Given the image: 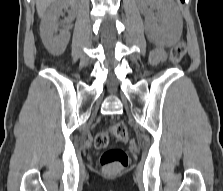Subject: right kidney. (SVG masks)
I'll return each instance as SVG.
<instances>
[{
  "label": "right kidney",
  "mask_w": 223,
  "mask_h": 191,
  "mask_svg": "<svg viewBox=\"0 0 223 191\" xmlns=\"http://www.w3.org/2000/svg\"><path fill=\"white\" fill-rule=\"evenodd\" d=\"M76 0H56L54 1L47 13L45 14L41 26L40 34L42 42L49 52L55 55L63 53L70 39L68 26H63V29L57 34L58 26L61 25L59 17L63 9L68 7L75 8ZM72 16L70 17V20Z\"/></svg>",
  "instance_id": "ca27d5eb"
}]
</instances>
